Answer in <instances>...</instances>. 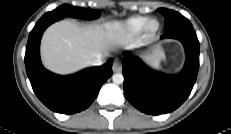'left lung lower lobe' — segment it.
Here are the masks:
<instances>
[{
	"instance_id": "0a47b994",
	"label": "left lung lower lobe",
	"mask_w": 231,
	"mask_h": 134,
	"mask_svg": "<svg viewBox=\"0 0 231 134\" xmlns=\"http://www.w3.org/2000/svg\"><path fill=\"white\" fill-rule=\"evenodd\" d=\"M161 38L179 40L186 51V62L176 76L153 72L139 59L124 52V95L141 112L159 115L174 111L190 95L199 69V41L193 26L174 29Z\"/></svg>"
}]
</instances>
